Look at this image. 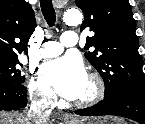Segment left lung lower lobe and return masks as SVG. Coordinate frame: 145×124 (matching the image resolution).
Listing matches in <instances>:
<instances>
[{"mask_svg":"<svg viewBox=\"0 0 145 124\" xmlns=\"http://www.w3.org/2000/svg\"><path fill=\"white\" fill-rule=\"evenodd\" d=\"M81 116L117 115L145 124V93L121 90L92 107L75 112Z\"/></svg>","mask_w":145,"mask_h":124,"instance_id":"left-lung-lower-lobe-1","label":"left lung lower lobe"}]
</instances>
